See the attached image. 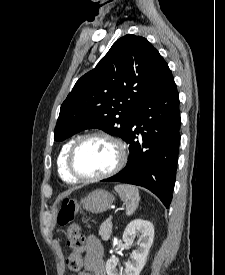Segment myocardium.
Instances as JSON below:
<instances>
[{"instance_id": "f54148a6", "label": "myocardium", "mask_w": 225, "mask_h": 275, "mask_svg": "<svg viewBox=\"0 0 225 275\" xmlns=\"http://www.w3.org/2000/svg\"><path fill=\"white\" fill-rule=\"evenodd\" d=\"M94 138L107 140L114 145L117 152L116 163L111 170L103 174L91 175V176L81 175L76 171L74 166V158H75L76 152L85 141L94 139ZM126 159H127V151L124 143L119 138L104 132H92V133L84 134L78 137L73 142L67 154L66 165H67L68 172L75 180L92 182V181L103 180L117 174L124 167L126 163Z\"/></svg>"}]
</instances>
